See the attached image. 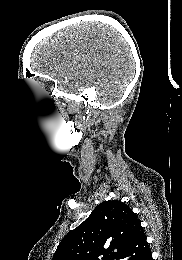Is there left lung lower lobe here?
<instances>
[{"label": "left lung lower lobe", "instance_id": "1", "mask_svg": "<svg viewBox=\"0 0 182 260\" xmlns=\"http://www.w3.org/2000/svg\"><path fill=\"white\" fill-rule=\"evenodd\" d=\"M120 259L153 260L146 235L141 226L133 233Z\"/></svg>", "mask_w": 182, "mask_h": 260}]
</instances>
